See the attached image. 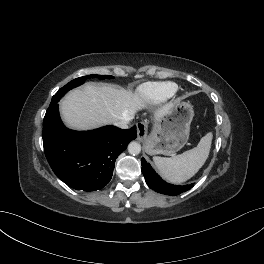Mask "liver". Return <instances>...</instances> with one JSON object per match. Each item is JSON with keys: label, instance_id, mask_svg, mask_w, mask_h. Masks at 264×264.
<instances>
[{"label": "liver", "instance_id": "1", "mask_svg": "<svg viewBox=\"0 0 264 264\" xmlns=\"http://www.w3.org/2000/svg\"><path fill=\"white\" fill-rule=\"evenodd\" d=\"M173 104L168 103L155 113L158 119ZM146 107L141 95L114 86L86 84L70 91L60 102V110L66 125L75 130H89L106 124L133 118Z\"/></svg>", "mask_w": 264, "mask_h": 264}]
</instances>
